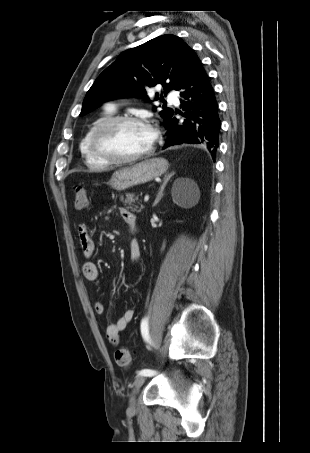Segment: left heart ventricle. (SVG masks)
I'll return each instance as SVG.
<instances>
[{"label":"left heart ventricle","instance_id":"obj_1","mask_svg":"<svg viewBox=\"0 0 310 453\" xmlns=\"http://www.w3.org/2000/svg\"><path fill=\"white\" fill-rule=\"evenodd\" d=\"M102 148L116 157H130L151 146L146 126L140 124H121L106 134L101 142Z\"/></svg>","mask_w":310,"mask_h":453}]
</instances>
